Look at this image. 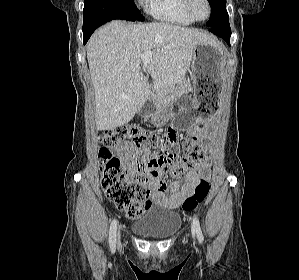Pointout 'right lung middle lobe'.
I'll return each instance as SVG.
<instances>
[{"instance_id": "obj_1", "label": "right lung middle lobe", "mask_w": 299, "mask_h": 280, "mask_svg": "<svg viewBox=\"0 0 299 280\" xmlns=\"http://www.w3.org/2000/svg\"><path fill=\"white\" fill-rule=\"evenodd\" d=\"M119 6L129 12L137 21H144L145 18L141 15L133 0H112Z\"/></svg>"}]
</instances>
